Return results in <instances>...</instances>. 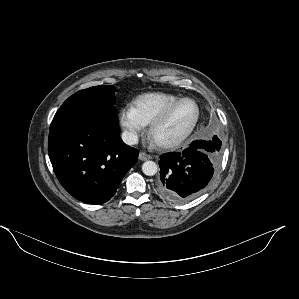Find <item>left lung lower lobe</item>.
Instances as JSON below:
<instances>
[{
  "label": "left lung lower lobe",
  "instance_id": "left-lung-lower-lobe-1",
  "mask_svg": "<svg viewBox=\"0 0 299 299\" xmlns=\"http://www.w3.org/2000/svg\"><path fill=\"white\" fill-rule=\"evenodd\" d=\"M221 148L212 140H196L182 152L160 157L159 194L174 203L189 201L204 192L214 178Z\"/></svg>",
  "mask_w": 299,
  "mask_h": 299
}]
</instances>
